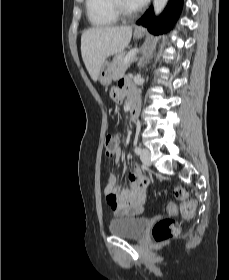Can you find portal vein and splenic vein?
Listing matches in <instances>:
<instances>
[{
	"label": "portal vein and splenic vein",
	"mask_w": 229,
	"mask_h": 280,
	"mask_svg": "<svg viewBox=\"0 0 229 280\" xmlns=\"http://www.w3.org/2000/svg\"><path fill=\"white\" fill-rule=\"evenodd\" d=\"M138 52V49H132L131 51H129V53L125 56L124 62L125 64H127L131 58H133L136 53Z\"/></svg>",
	"instance_id": "obj_1"
}]
</instances>
